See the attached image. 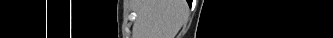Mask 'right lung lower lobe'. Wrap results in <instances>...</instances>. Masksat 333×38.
<instances>
[{
  "instance_id": "right-lung-lower-lobe-1",
  "label": "right lung lower lobe",
  "mask_w": 333,
  "mask_h": 38,
  "mask_svg": "<svg viewBox=\"0 0 333 38\" xmlns=\"http://www.w3.org/2000/svg\"><path fill=\"white\" fill-rule=\"evenodd\" d=\"M188 4L191 5V1L190 0H187Z\"/></svg>"
}]
</instances>
